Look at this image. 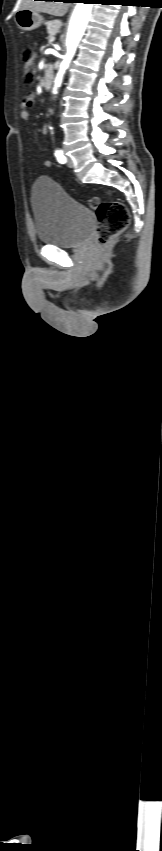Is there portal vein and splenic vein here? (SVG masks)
Here are the masks:
<instances>
[{
    "label": "portal vein and splenic vein",
    "mask_w": 162,
    "mask_h": 851,
    "mask_svg": "<svg viewBox=\"0 0 162 851\" xmlns=\"http://www.w3.org/2000/svg\"><path fill=\"white\" fill-rule=\"evenodd\" d=\"M54 39H55L54 37H51L50 41H51V42H53V41H54Z\"/></svg>",
    "instance_id": "obj_1"
}]
</instances>
